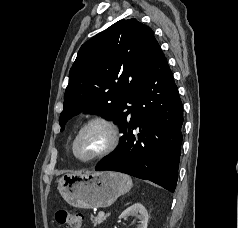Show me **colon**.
Wrapping results in <instances>:
<instances>
[{
  "mask_svg": "<svg viewBox=\"0 0 238 228\" xmlns=\"http://www.w3.org/2000/svg\"><path fill=\"white\" fill-rule=\"evenodd\" d=\"M56 220L66 228H81L83 217L80 213L70 210H59L56 213Z\"/></svg>",
  "mask_w": 238,
  "mask_h": 228,
  "instance_id": "1",
  "label": "colon"
}]
</instances>
